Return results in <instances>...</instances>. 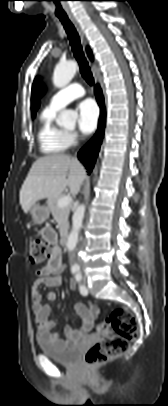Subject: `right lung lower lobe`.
<instances>
[{"mask_svg":"<svg viewBox=\"0 0 168 406\" xmlns=\"http://www.w3.org/2000/svg\"><path fill=\"white\" fill-rule=\"evenodd\" d=\"M95 94L97 102L101 109L98 130L92 137V139L78 153L79 160L87 167L88 172H91L93 169L103 139L105 128L104 98L102 95V91L98 85L95 87Z\"/></svg>","mask_w":168,"mask_h":406,"instance_id":"right-lung-lower-lobe-1","label":"right lung lower lobe"}]
</instances>
